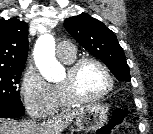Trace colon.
Returning a JSON list of instances; mask_svg holds the SVG:
<instances>
[{"mask_svg": "<svg viewBox=\"0 0 153 134\" xmlns=\"http://www.w3.org/2000/svg\"><path fill=\"white\" fill-rule=\"evenodd\" d=\"M96 134H133V129L126 120V111L116 109L108 123L101 127Z\"/></svg>", "mask_w": 153, "mask_h": 134, "instance_id": "5ec220e1", "label": "colon"}]
</instances>
